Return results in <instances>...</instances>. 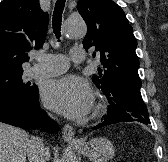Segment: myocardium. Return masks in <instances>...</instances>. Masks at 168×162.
Wrapping results in <instances>:
<instances>
[{"mask_svg": "<svg viewBox=\"0 0 168 162\" xmlns=\"http://www.w3.org/2000/svg\"><path fill=\"white\" fill-rule=\"evenodd\" d=\"M103 111H104V106L100 102H98L93 107V116L94 117L99 116L102 114Z\"/></svg>", "mask_w": 168, "mask_h": 162, "instance_id": "myocardium-1", "label": "myocardium"}]
</instances>
